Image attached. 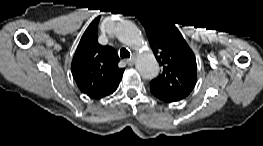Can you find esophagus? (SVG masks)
Masks as SVG:
<instances>
[{"mask_svg": "<svg viewBox=\"0 0 263 146\" xmlns=\"http://www.w3.org/2000/svg\"><path fill=\"white\" fill-rule=\"evenodd\" d=\"M127 63H128V65H130V66L134 65V63H135V58L132 57V58L128 59V60H127Z\"/></svg>", "mask_w": 263, "mask_h": 146, "instance_id": "1", "label": "esophagus"}]
</instances>
